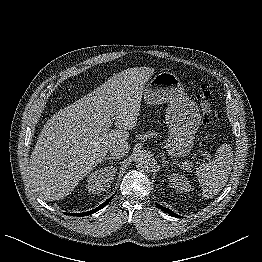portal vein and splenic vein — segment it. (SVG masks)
Masks as SVG:
<instances>
[{
  "label": "portal vein and splenic vein",
  "mask_w": 262,
  "mask_h": 262,
  "mask_svg": "<svg viewBox=\"0 0 262 262\" xmlns=\"http://www.w3.org/2000/svg\"><path fill=\"white\" fill-rule=\"evenodd\" d=\"M112 123H113V119H112V117H110V118L108 119V122H107V123L105 124V126L103 127V130H104L105 132L109 131ZM200 153H201L203 156H205V158H206L207 160H211L212 156H211L210 154H208L207 152L200 151Z\"/></svg>",
  "instance_id": "18ae733b"
}]
</instances>
